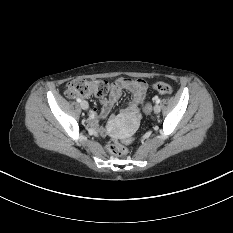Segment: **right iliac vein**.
<instances>
[{
	"label": "right iliac vein",
	"mask_w": 233,
	"mask_h": 233,
	"mask_svg": "<svg viewBox=\"0 0 233 233\" xmlns=\"http://www.w3.org/2000/svg\"><path fill=\"white\" fill-rule=\"evenodd\" d=\"M80 106L83 110H87L89 107L88 102L86 101H81Z\"/></svg>",
	"instance_id": "right-iliac-vein-1"
}]
</instances>
